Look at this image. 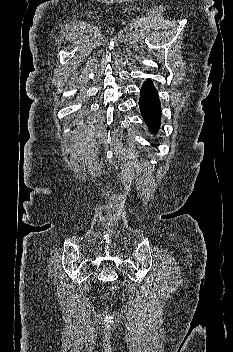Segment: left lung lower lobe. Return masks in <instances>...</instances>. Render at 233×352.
I'll use <instances>...</instances> for the list:
<instances>
[{
	"label": "left lung lower lobe",
	"mask_w": 233,
	"mask_h": 352,
	"mask_svg": "<svg viewBox=\"0 0 233 352\" xmlns=\"http://www.w3.org/2000/svg\"><path fill=\"white\" fill-rule=\"evenodd\" d=\"M139 107L149 130L156 132L160 125L161 107L157 90L152 81L147 80L141 90Z\"/></svg>",
	"instance_id": "obj_1"
}]
</instances>
